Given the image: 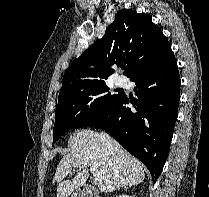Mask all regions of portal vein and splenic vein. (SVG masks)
I'll use <instances>...</instances> for the list:
<instances>
[{"label":"portal vein and splenic vein","instance_id":"obj_1","mask_svg":"<svg viewBox=\"0 0 209 197\" xmlns=\"http://www.w3.org/2000/svg\"><path fill=\"white\" fill-rule=\"evenodd\" d=\"M90 171L92 172L94 178L96 181H100L102 178V174L99 172L96 166L92 165L90 166Z\"/></svg>","mask_w":209,"mask_h":197}]
</instances>
